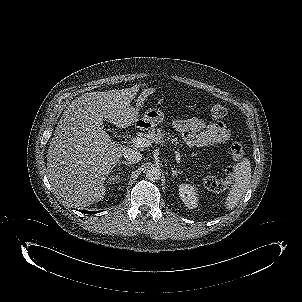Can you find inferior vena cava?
Here are the masks:
<instances>
[{"instance_id":"obj_1","label":"inferior vena cava","mask_w":302,"mask_h":302,"mask_svg":"<svg viewBox=\"0 0 302 302\" xmlns=\"http://www.w3.org/2000/svg\"><path fill=\"white\" fill-rule=\"evenodd\" d=\"M123 156L128 162H131L132 164L138 163L142 159V154L140 152L130 148L126 149L123 152Z\"/></svg>"}]
</instances>
